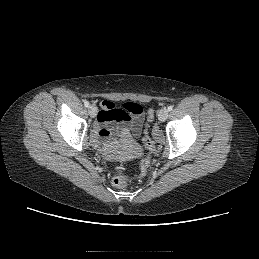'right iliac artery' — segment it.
<instances>
[{
	"mask_svg": "<svg viewBox=\"0 0 259 259\" xmlns=\"http://www.w3.org/2000/svg\"><path fill=\"white\" fill-rule=\"evenodd\" d=\"M89 105H90V104H89L88 101H85V102H84V106H85V107H89Z\"/></svg>",
	"mask_w": 259,
	"mask_h": 259,
	"instance_id": "right-iliac-artery-1",
	"label": "right iliac artery"
}]
</instances>
